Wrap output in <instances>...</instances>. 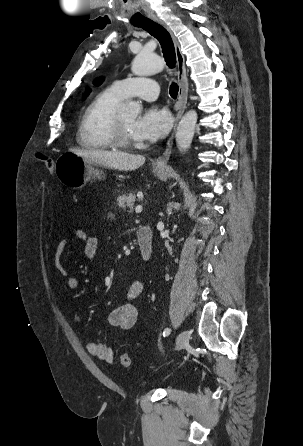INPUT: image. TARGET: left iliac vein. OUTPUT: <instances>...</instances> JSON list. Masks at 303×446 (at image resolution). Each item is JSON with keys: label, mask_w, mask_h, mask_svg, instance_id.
Masks as SVG:
<instances>
[{"label": "left iliac vein", "mask_w": 303, "mask_h": 446, "mask_svg": "<svg viewBox=\"0 0 303 446\" xmlns=\"http://www.w3.org/2000/svg\"><path fill=\"white\" fill-rule=\"evenodd\" d=\"M190 339V332L188 330L182 331L176 340L175 350L183 349L188 343Z\"/></svg>", "instance_id": "4c4485c4"}]
</instances>
